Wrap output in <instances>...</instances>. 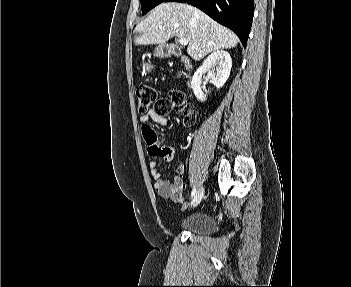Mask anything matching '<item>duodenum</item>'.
Wrapping results in <instances>:
<instances>
[{"label": "duodenum", "mask_w": 351, "mask_h": 287, "mask_svg": "<svg viewBox=\"0 0 351 287\" xmlns=\"http://www.w3.org/2000/svg\"><path fill=\"white\" fill-rule=\"evenodd\" d=\"M159 55L160 56H180L179 50L178 48L174 47V46H165L160 48L159 50ZM183 62L185 64L186 69L189 68V62L187 61L186 58H183Z\"/></svg>", "instance_id": "duodenum-1"}]
</instances>
